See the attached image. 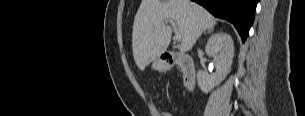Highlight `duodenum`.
Here are the masks:
<instances>
[{
    "label": "duodenum",
    "instance_id": "1",
    "mask_svg": "<svg viewBox=\"0 0 305 116\" xmlns=\"http://www.w3.org/2000/svg\"><path fill=\"white\" fill-rule=\"evenodd\" d=\"M161 60L166 68L179 65L182 71V79L185 88L191 91L196 81L195 67L192 58L186 54L173 53L165 51L161 55Z\"/></svg>",
    "mask_w": 305,
    "mask_h": 116
}]
</instances>
